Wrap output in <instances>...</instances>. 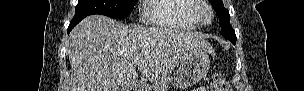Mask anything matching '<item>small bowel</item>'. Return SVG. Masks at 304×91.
<instances>
[{
	"label": "small bowel",
	"instance_id": "obj_1",
	"mask_svg": "<svg viewBox=\"0 0 304 91\" xmlns=\"http://www.w3.org/2000/svg\"><path fill=\"white\" fill-rule=\"evenodd\" d=\"M204 89L203 88H199V89H197V91H203Z\"/></svg>",
	"mask_w": 304,
	"mask_h": 91
}]
</instances>
